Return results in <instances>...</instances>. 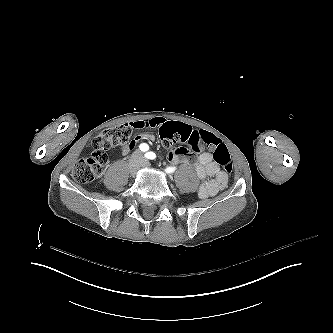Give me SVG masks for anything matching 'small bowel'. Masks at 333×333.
<instances>
[{
	"mask_svg": "<svg viewBox=\"0 0 333 333\" xmlns=\"http://www.w3.org/2000/svg\"><path fill=\"white\" fill-rule=\"evenodd\" d=\"M166 123H177L169 121L163 117H153L146 120H137L132 123V126L136 129L152 128L161 129ZM202 133V132H201ZM155 137L152 134H140L135 137L133 142L122 145L120 152L122 155H128L132 152L138 143L152 142ZM163 146H168V142L163 141ZM167 160L171 163H183L187 164L190 160V153L187 149L179 147L171 150L167 154ZM195 173L200 180H204L206 177H212L209 180H204L199 189L198 196L201 199L215 196L221 189H223L227 183V174L223 171L216 162H214L212 155L209 152H203L197 157L195 163Z\"/></svg>",
	"mask_w": 333,
	"mask_h": 333,
	"instance_id": "small-bowel-1",
	"label": "small bowel"
}]
</instances>
